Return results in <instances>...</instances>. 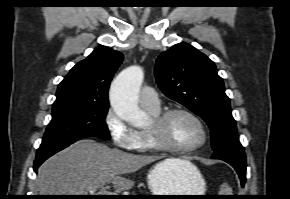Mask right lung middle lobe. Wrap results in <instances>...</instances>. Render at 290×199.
<instances>
[{
    "instance_id": "dd1d6c3e",
    "label": "right lung middle lobe",
    "mask_w": 290,
    "mask_h": 199,
    "mask_svg": "<svg viewBox=\"0 0 290 199\" xmlns=\"http://www.w3.org/2000/svg\"><path fill=\"white\" fill-rule=\"evenodd\" d=\"M108 104H69L53 108L39 149L73 143L84 137L95 136L109 140L105 122Z\"/></svg>"
}]
</instances>
